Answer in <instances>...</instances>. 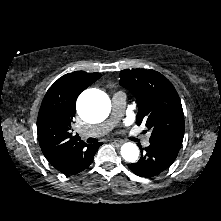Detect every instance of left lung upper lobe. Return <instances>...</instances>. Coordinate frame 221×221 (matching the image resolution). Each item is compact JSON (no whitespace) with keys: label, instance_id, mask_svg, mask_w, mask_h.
<instances>
[{"label":"left lung upper lobe","instance_id":"1","mask_svg":"<svg viewBox=\"0 0 221 221\" xmlns=\"http://www.w3.org/2000/svg\"><path fill=\"white\" fill-rule=\"evenodd\" d=\"M120 85L130 90L138 103L137 125L151 130L150 141L182 145L184 114L180 98L171 82L154 70L120 72Z\"/></svg>","mask_w":221,"mask_h":221}]
</instances>
